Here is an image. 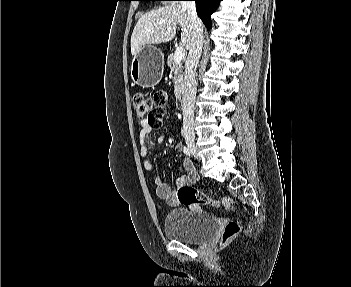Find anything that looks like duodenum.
<instances>
[{
  "label": "duodenum",
  "instance_id": "1",
  "mask_svg": "<svg viewBox=\"0 0 351 287\" xmlns=\"http://www.w3.org/2000/svg\"><path fill=\"white\" fill-rule=\"evenodd\" d=\"M185 105H186V102H185L184 93L182 91H180L176 94V106L179 109H184Z\"/></svg>",
  "mask_w": 351,
  "mask_h": 287
}]
</instances>
